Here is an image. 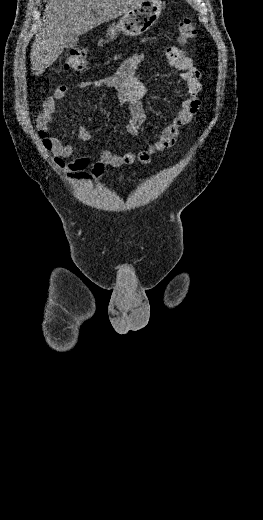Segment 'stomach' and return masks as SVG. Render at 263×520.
Instances as JSON below:
<instances>
[{"instance_id": "obj_1", "label": "stomach", "mask_w": 263, "mask_h": 520, "mask_svg": "<svg viewBox=\"0 0 263 520\" xmlns=\"http://www.w3.org/2000/svg\"><path fill=\"white\" fill-rule=\"evenodd\" d=\"M161 0H144L138 6L123 14L120 20L109 26L107 36L113 39L117 33L136 37L149 30L161 15Z\"/></svg>"}]
</instances>
